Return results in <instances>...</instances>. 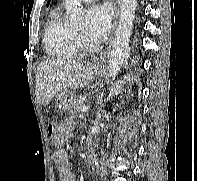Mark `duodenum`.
<instances>
[{
    "instance_id": "duodenum-1",
    "label": "duodenum",
    "mask_w": 197,
    "mask_h": 181,
    "mask_svg": "<svg viewBox=\"0 0 197 181\" xmlns=\"http://www.w3.org/2000/svg\"><path fill=\"white\" fill-rule=\"evenodd\" d=\"M86 148H87L88 154H91V152H92V139H91V137H88L87 140H86Z\"/></svg>"
}]
</instances>
